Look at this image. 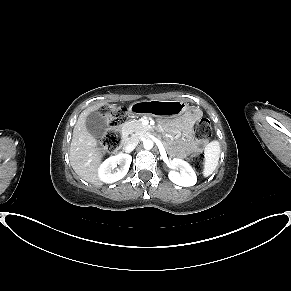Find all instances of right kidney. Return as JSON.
I'll list each match as a JSON object with an SVG mask.
<instances>
[{"label":"right kidney","mask_w":291,"mask_h":291,"mask_svg":"<svg viewBox=\"0 0 291 291\" xmlns=\"http://www.w3.org/2000/svg\"><path fill=\"white\" fill-rule=\"evenodd\" d=\"M132 157L129 154L120 153L106 159L98 168V177L105 183H114L122 179L128 172ZM115 172L113 169L117 167Z\"/></svg>","instance_id":"ca27d5eb"}]
</instances>
